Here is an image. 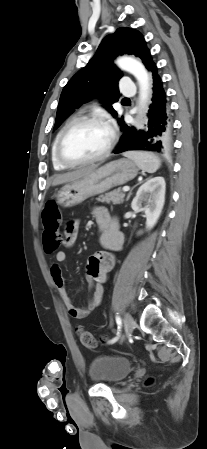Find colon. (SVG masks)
<instances>
[{
	"label": "colon",
	"instance_id": "1",
	"mask_svg": "<svg viewBox=\"0 0 207 449\" xmlns=\"http://www.w3.org/2000/svg\"><path fill=\"white\" fill-rule=\"evenodd\" d=\"M61 221L62 217L57 204L52 200L48 201L42 211L43 247L47 253L55 252L64 242L60 233ZM77 334L84 346L88 348L97 346V340L90 332L78 327Z\"/></svg>",
	"mask_w": 207,
	"mask_h": 449
}]
</instances>
